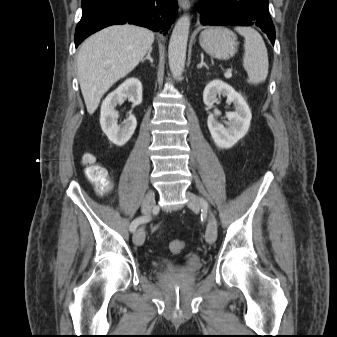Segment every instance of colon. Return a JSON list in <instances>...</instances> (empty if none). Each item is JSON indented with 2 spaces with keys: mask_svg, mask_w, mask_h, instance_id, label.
<instances>
[{
  "mask_svg": "<svg viewBox=\"0 0 337 337\" xmlns=\"http://www.w3.org/2000/svg\"><path fill=\"white\" fill-rule=\"evenodd\" d=\"M82 163L86 177L94 185L95 190L100 195L107 194L112 187L111 181L105 170L95 162L91 153L83 155ZM168 248L172 253H180L184 248V242L180 239L170 240Z\"/></svg>",
  "mask_w": 337,
  "mask_h": 337,
  "instance_id": "obj_1",
  "label": "colon"
}]
</instances>
